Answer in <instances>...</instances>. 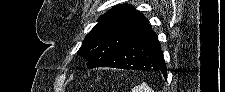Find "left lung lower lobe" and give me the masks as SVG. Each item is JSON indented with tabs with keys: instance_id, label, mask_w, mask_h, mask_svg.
Here are the masks:
<instances>
[{
	"instance_id": "1",
	"label": "left lung lower lobe",
	"mask_w": 225,
	"mask_h": 92,
	"mask_svg": "<svg viewBox=\"0 0 225 92\" xmlns=\"http://www.w3.org/2000/svg\"><path fill=\"white\" fill-rule=\"evenodd\" d=\"M97 67L161 71L167 79L163 52L150 24Z\"/></svg>"
}]
</instances>
